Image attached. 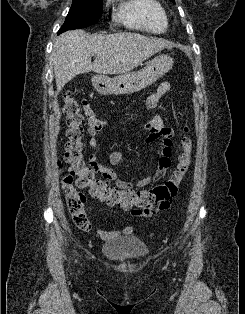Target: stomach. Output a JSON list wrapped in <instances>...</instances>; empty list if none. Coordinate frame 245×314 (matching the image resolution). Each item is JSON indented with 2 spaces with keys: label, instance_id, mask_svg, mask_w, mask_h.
Instances as JSON below:
<instances>
[{
  "label": "stomach",
  "instance_id": "stomach-1",
  "mask_svg": "<svg viewBox=\"0 0 245 314\" xmlns=\"http://www.w3.org/2000/svg\"><path fill=\"white\" fill-rule=\"evenodd\" d=\"M173 66V59L168 55H159L146 67L118 75L114 78L97 75L92 79L96 91L102 95H122L135 93L152 85Z\"/></svg>",
  "mask_w": 245,
  "mask_h": 314
}]
</instances>
